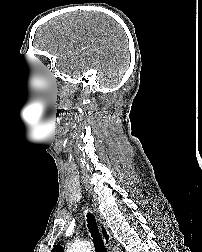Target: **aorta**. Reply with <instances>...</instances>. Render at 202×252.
<instances>
[{
  "label": "aorta",
  "mask_w": 202,
  "mask_h": 252,
  "mask_svg": "<svg viewBox=\"0 0 202 252\" xmlns=\"http://www.w3.org/2000/svg\"><path fill=\"white\" fill-rule=\"evenodd\" d=\"M92 250L91 243L83 242L69 245L66 252H93Z\"/></svg>",
  "instance_id": "1"
}]
</instances>
